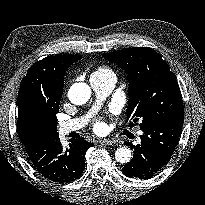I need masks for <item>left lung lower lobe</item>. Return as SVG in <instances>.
Masks as SVG:
<instances>
[{"label": "left lung lower lobe", "mask_w": 205, "mask_h": 205, "mask_svg": "<svg viewBox=\"0 0 205 205\" xmlns=\"http://www.w3.org/2000/svg\"><path fill=\"white\" fill-rule=\"evenodd\" d=\"M183 121L184 116L165 119L142 130L140 145L126 142L134 149V154L132 160L122 168L123 174L148 179L158 173L171 159Z\"/></svg>", "instance_id": "1"}]
</instances>
